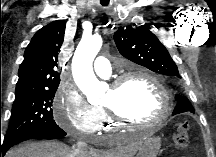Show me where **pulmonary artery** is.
Listing matches in <instances>:
<instances>
[{"instance_id": "e3ab8cb5", "label": "pulmonary artery", "mask_w": 216, "mask_h": 157, "mask_svg": "<svg viewBox=\"0 0 216 157\" xmlns=\"http://www.w3.org/2000/svg\"><path fill=\"white\" fill-rule=\"evenodd\" d=\"M94 71L101 77H108L111 75L110 61L104 56H98L93 65Z\"/></svg>"}]
</instances>
